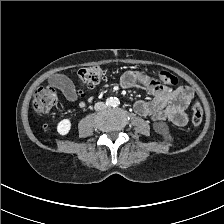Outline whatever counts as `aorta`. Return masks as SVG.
I'll return each instance as SVG.
<instances>
[{
    "label": "aorta",
    "instance_id": "762f6f07",
    "mask_svg": "<svg viewBox=\"0 0 224 224\" xmlns=\"http://www.w3.org/2000/svg\"><path fill=\"white\" fill-rule=\"evenodd\" d=\"M116 101H117L116 99H113L112 100V104L114 105Z\"/></svg>",
    "mask_w": 224,
    "mask_h": 224
}]
</instances>
